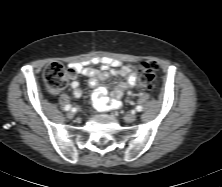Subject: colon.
Returning <instances> with one entry per match:
<instances>
[{
    "mask_svg": "<svg viewBox=\"0 0 222 187\" xmlns=\"http://www.w3.org/2000/svg\"><path fill=\"white\" fill-rule=\"evenodd\" d=\"M157 65L154 62H142L140 64L139 88L151 90L155 79ZM44 81L48 91L56 94L67 85V76L64 67L56 62L50 63L44 70Z\"/></svg>",
    "mask_w": 222,
    "mask_h": 187,
    "instance_id": "colon-1",
    "label": "colon"
}]
</instances>
